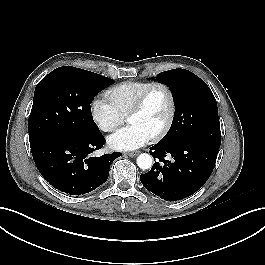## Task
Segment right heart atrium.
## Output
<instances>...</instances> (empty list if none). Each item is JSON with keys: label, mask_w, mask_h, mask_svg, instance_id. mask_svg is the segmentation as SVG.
Returning a JSON list of instances; mask_svg holds the SVG:
<instances>
[{"label": "right heart atrium", "mask_w": 265, "mask_h": 265, "mask_svg": "<svg viewBox=\"0 0 265 265\" xmlns=\"http://www.w3.org/2000/svg\"><path fill=\"white\" fill-rule=\"evenodd\" d=\"M90 114L96 126L104 132H112L124 122V116L108 101L95 98L90 105Z\"/></svg>", "instance_id": "d8ad5b80"}]
</instances>
